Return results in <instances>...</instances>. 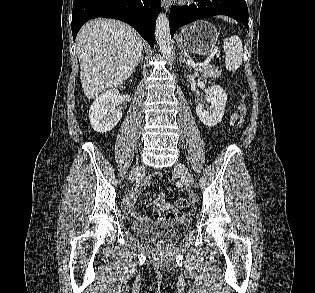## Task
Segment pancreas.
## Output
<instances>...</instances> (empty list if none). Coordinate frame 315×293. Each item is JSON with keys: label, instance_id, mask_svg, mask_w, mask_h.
Instances as JSON below:
<instances>
[{"label": "pancreas", "instance_id": "pancreas-1", "mask_svg": "<svg viewBox=\"0 0 315 293\" xmlns=\"http://www.w3.org/2000/svg\"><path fill=\"white\" fill-rule=\"evenodd\" d=\"M195 70L200 72L205 78L216 79L221 75L219 68L214 65L196 67Z\"/></svg>", "mask_w": 315, "mask_h": 293}]
</instances>
